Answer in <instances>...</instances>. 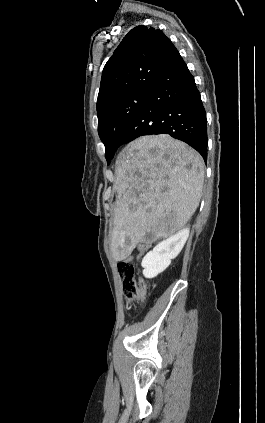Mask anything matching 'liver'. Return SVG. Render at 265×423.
I'll use <instances>...</instances> for the list:
<instances>
[{
  "instance_id": "obj_1",
  "label": "liver",
  "mask_w": 265,
  "mask_h": 423,
  "mask_svg": "<svg viewBox=\"0 0 265 423\" xmlns=\"http://www.w3.org/2000/svg\"><path fill=\"white\" fill-rule=\"evenodd\" d=\"M204 174L199 153L167 134L142 136L125 146L116 160L113 259L125 260L139 242L183 229L199 206Z\"/></svg>"
}]
</instances>
